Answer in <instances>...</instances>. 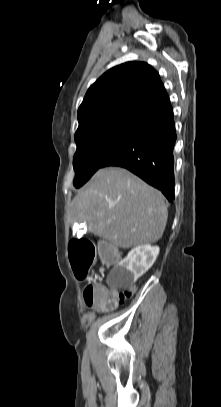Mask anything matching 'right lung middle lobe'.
I'll return each instance as SVG.
<instances>
[{
  "label": "right lung middle lobe",
  "instance_id": "1",
  "mask_svg": "<svg viewBox=\"0 0 221 407\" xmlns=\"http://www.w3.org/2000/svg\"><path fill=\"white\" fill-rule=\"evenodd\" d=\"M138 124L123 123L100 128L76 140L73 158L74 186L81 187L101 168L102 163L134 132Z\"/></svg>",
  "mask_w": 221,
  "mask_h": 407
}]
</instances>
